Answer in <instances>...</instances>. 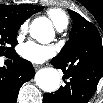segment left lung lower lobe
I'll return each mask as SVG.
<instances>
[{
  "instance_id": "obj_1",
  "label": "left lung lower lobe",
  "mask_w": 103,
  "mask_h": 103,
  "mask_svg": "<svg viewBox=\"0 0 103 103\" xmlns=\"http://www.w3.org/2000/svg\"><path fill=\"white\" fill-rule=\"evenodd\" d=\"M86 43L91 52L89 57L74 52L68 58L52 59V65L62 69L63 79L68 81L58 91L45 93L44 103H87L90 100L103 74V45L101 37L89 38Z\"/></svg>"
}]
</instances>
